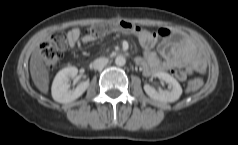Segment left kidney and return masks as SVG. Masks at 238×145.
I'll use <instances>...</instances> for the list:
<instances>
[{"instance_id":"5707ae66","label":"left kidney","mask_w":238,"mask_h":145,"mask_svg":"<svg viewBox=\"0 0 238 145\" xmlns=\"http://www.w3.org/2000/svg\"><path fill=\"white\" fill-rule=\"evenodd\" d=\"M153 76L167 82L169 84L170 90L157 91L154 87L150 86L149 84H145L144 90L150 98L160 102H174L180 98L182 94V88L174 77L165 72H157Z\"/></svg>"}]
</instances>
